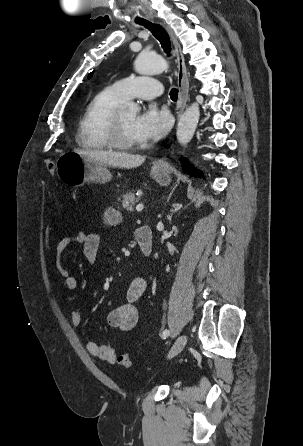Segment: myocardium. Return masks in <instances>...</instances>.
Wrapping results in <instances>:
<instances>
[{
    "label": "myocardium",
    "mask_w": 303,
    "mask_h": 446,
    "mask_svg": "<svg viewBox=\"0 0 303 446\" xmlns=\"http://www.w3.org/2000/svg\"><path fill=\"white\" fill-rule=\"evenodd\" d=\"M121 110L118 109L111 117L108 127V138L111 147L120 150H133L140 147L139 142L129 141L123 134Z\"/></svg>",
    "instance_id": "obj_1"
}]
</instances>
